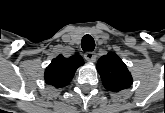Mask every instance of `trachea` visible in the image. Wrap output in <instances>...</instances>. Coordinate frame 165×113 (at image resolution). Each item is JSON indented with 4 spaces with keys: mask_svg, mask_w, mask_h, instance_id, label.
<instances>
[{
    "mask_svg": "<svg viewBox=\"0 0 165 113\" xmlns=\"http://www.w3.org/2000/svg\"><path fill=\"white\" fill-rule=\"evenodd\" d=\"M81 44H82L83 50H85V51H92L95 47L94 40L89 35H86L83 37Z\"/></svg>",
    "mask_w": 165,
    "mask_h": 113,
    "instance_id": "obj_1",
    "label": "trachea"
}]
</instances>
